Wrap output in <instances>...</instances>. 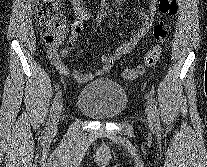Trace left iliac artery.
I'll use <instances>...</instances> for the list:
<instances>
[{
  "instance_id": "left-iliac-artery-1",
  "label": "left iliac artery",
  "mask_w": 207,
  "mask_h": 167,
  "mask_svg": "<svg viewBox=\"0 0 207 167\" xmlns=\"http://www.w3.org/2000/svg\"><path fill=\"white\" fill-rule=\"evenodd\" d=\"M146 98L148 100V104H149L150 110L152 112V116L154 119L156 130H157V132H159L160 131V119H159V114H158L157 108L154 105L152 98L149 95H147Z\"/></svg>"
}]
</instances>
